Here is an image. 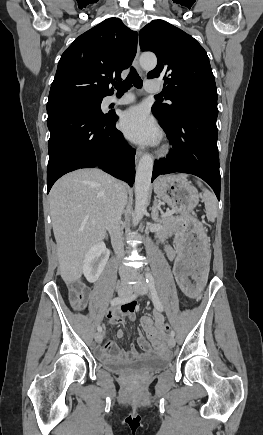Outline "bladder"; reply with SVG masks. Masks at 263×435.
Here are the masks:
<instances>
[{"instance_id":"obj_1","label":"bladder","mask_w":263,"mask_h":435,"mask_svg":"<svg viewBox=\"0 0 263 435\" xmlns=\"http://www.w3.org/2000/svg\"><path fill=\"white\" fill-rule=\"evenodd\" d=\"M170 360L166 356H146L134 361H105L102 367L112 372H157L165 369Z\"/></svg>"}]
</instances>
